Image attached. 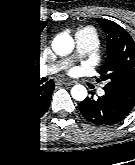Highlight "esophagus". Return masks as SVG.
I'll list each match as a JSON object with an SVG mask.
<instances>
[{"label":"esophagus","mask_w":135,"mask_h":165,"mask_svg":"<svg viewBox=\"0 0 135 165\" xmlns=\"http://www.w3.org/2000/svg\"><path fill=\"white\" fill-rule=\"evenodd\" d=\"M62 83L65 84V85H71L72 81H70L68 79H64V80H62Z\"/></svg>","instance_id":"obj_1"}]
</instances>
